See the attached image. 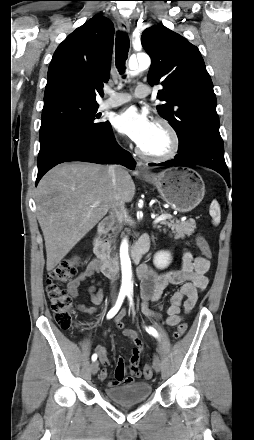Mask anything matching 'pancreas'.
Wrapping results in <instances>:
<instances>
[{"mask_svg":"<svg viewBox=\"0 0 254 440\" xmlns=\"http://www.w3.org/2000/svg\"><path fill=\"white\" fill-rule=\"evenodd\" d=\"M161 224L170 228L176 239H183L185 236L192 235L196 228V223L194 220L180 222L178 220L174 221L169 219L168 221H162ZM157 228H160V226Z\"/></svg>","mask_w":254,"mask_h":440,"instance_id":"pancreas-1","label":"pancreas"}]
</instances>
